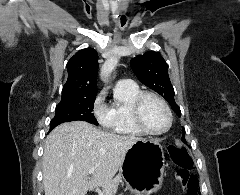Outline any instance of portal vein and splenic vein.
<instances>
[{"instance_id":"portal-vein-and-splenic-vein-1","label":"portal vein and splenic vein","mask_w":240,"mask_h":195,"mask_svg":"<svg viewBox=\"0 0 240 195\" xmlns=\"http://www.w3.org/2000/svg\"><path fill=\"white\" fill-rule=\"evenodd\" d=\"M95 169H96V167H90L89 173H94Z\"/></svg>"}]
</instances>
